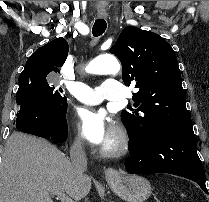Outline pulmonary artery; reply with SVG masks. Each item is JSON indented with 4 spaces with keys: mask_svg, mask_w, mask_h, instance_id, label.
I'll use <instances>...</instances> for the list:
<instances>
[{
    "mask_svg": "<svg viewBox=\"0 0 209 202\" xmlns=\"http://www.w3.org/2000/svg\"><path fill=\"white\" fill-rule=\"evenodd\" d=\"M71 93L79 101L91 105L101 103L104 98L114 101L124 98L122 86L115 78H106L98 87H91L85 83L77 82L71 87Z\"/></svg>",
    "mask_w": 209,
    "mask_h": 202,
    "instance_id": "e3ab8cb5",
    "label": "pulmonary artery"
}]
</instances>
